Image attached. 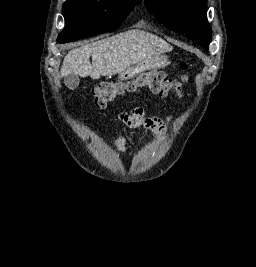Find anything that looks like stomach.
Returning <instances> with one entry per match:
<instances>
[{"instance_id": "stomach-1", "label": "stomach", "mask_w": 256, "mask_h": 267, "mask_svg": "<svg viewBox=\"0 0 256 267\" xmlns=\"http://www.w3.org/2000/svg\"><path fill=\"white\" fill-rule=\"evenodd\" d=\"M164 62H136V67H167L168 60L165 56Z\"/></svg>"}]
</instances>
